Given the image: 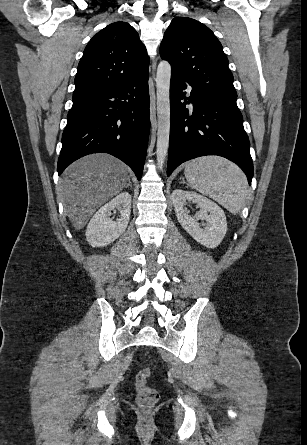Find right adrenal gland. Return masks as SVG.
<instances>
[{
    "instance_id": "1",
    "label": "right adrenal gland",
    "mask_w": 307,
    "mask_h": 445,
    "mask_svg": "<svg viewBox=\"0 0 307 445\" xmlns=\"http://www.w3.org/2000/svg\"><path fill=\"white\" fill-rule=\"evenodd\" d=\"M129 182H130V180H129ZM127 186H132V184H127ZM127 186H125V188H127Z\"/></svg>"
}]
</instances>
